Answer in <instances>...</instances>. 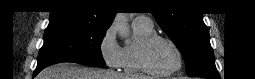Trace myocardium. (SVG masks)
Segmentation results:
<instances>
[{"instance_id": "myocardium-1", "label": "myocardium", "mask_w": 255, "mask_h": 79, "mask_svg": "<svg viewBox=\"0 0 255 79\" xmlns=\"http://www.w3.org/2000/svg\"><path fill=\"white\" fill-rule=\"evenodd\" d=\"M156 40H164L168 42L172 48L174 49L176 56H177V64L168 71H157L155 70L150 64L148 59V52L151 47V45ZM138 59L141 69L150 75L155 76H167L174 74L175 72L179 71L182 67L183 63V54L179 46L169 37L161 35V34H152L149 38H147L140 46L139 53H138Z\"/></svg>"}]
</instances>
